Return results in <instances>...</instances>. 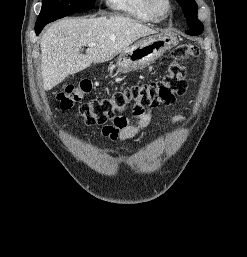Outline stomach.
Here are the masks:
<instances>
[{"label":"stomach","mask_w":247,"mask_h":257,"mask_svg":"<svg viewBox=\"0 0 247 257\" xmlns=\"http://www.w3.org/2000/svg\"><path fill=\"white\" fill-rule=\"evenodd\" d=\"M177 43V38L173 34L142 38L120 53L116 63L118 70L127 73L142 69Z\"/></svg>","instance_id":"1"}]
</instances>
